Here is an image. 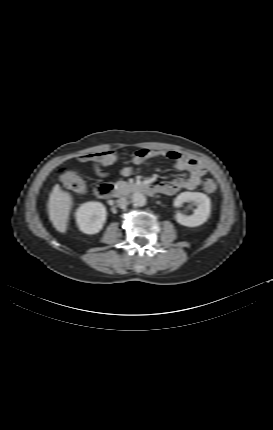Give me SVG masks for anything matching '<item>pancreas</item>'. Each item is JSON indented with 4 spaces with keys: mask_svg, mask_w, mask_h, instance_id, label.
<instances>
[{
    "mask_svg": "<svg viewBox=\"0 0 273 430\" xmlns=\"http://www.w3.org/2000/svg\"><path fill=\"white\" fill-rule=\"evenodd\" d=\"M115 186L116 194L119 196L128 194L132 188V184L125 181H118L115 183Z\"/></svg>",
    "mask_w": 273,
    "mask_h": 430,
    "instance_id": "1",
    "label": "pancreas"
}]
</instances>
